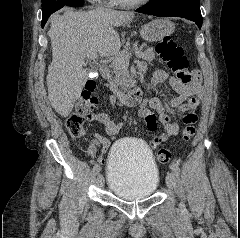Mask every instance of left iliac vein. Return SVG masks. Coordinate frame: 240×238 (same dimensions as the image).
I'll return each mask as SVG.
<instances>
[{"mask_svg":"<svg viewBox=\"0 0 240 238\" xmlns=\"http://www.w3.org/2000/svg\"><path fill=\"white\" fill-rule=\"evenodd\" d=\"M166 183L170 189H174L176 186V176L173 172H168L166 176Z\"/></svg>","mask_w":240,"mask_h":238,"instance_id":"obj_1","label":"left iliac vein"}]
</instances>
